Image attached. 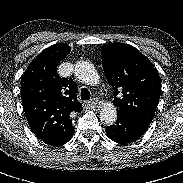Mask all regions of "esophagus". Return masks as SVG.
<instances>
[{"label": "esophagus", "mask_w": 183, "mask_h": 183, "mask_svg": "<svg viewBox=\"0 0 183 183\" xmlns=\"http://www.w3.org/2000/svg\"><path fill=\"white\" fill-rule=\"evenodd\" d=\"M86 108H100L101 102L98 99H92L90 101L85 102Z\"/></svg>", "instance_id": "obj_1"}]
</instances>
